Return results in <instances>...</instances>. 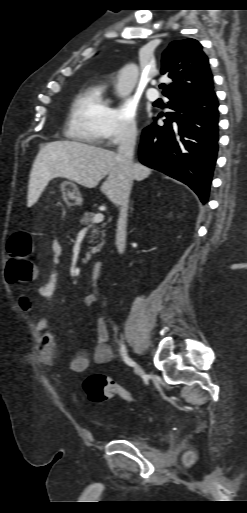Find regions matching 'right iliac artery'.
<instances>
[{
	"instance_id": "right-iliac-artery-1",
	"label": "right iliac artery",
	"mask_w": 247,
	"mask_h": 513,
	"mask_svg": "<svg viewBox=\"0 0 247 513\" xmlns=\"http://www.w3.org/2000/svg\"><path fill=\"white\" fill-rule=\"evenodd\" d=\"M121 354H122L124 362L127 365H129L131 367H136V363L130 357H128L124 345H121Z\"/></svg>"
}]
</instances>
